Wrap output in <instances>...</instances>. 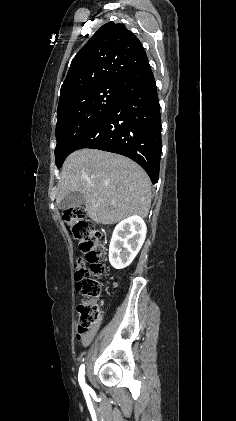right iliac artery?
Wrapping results in <instances>:
<instances>
[{"label": "right iliac artery", "mask_w": 236, "mask_h": 421, "mask_svg": "<svg viewBox=\"0 0 236 421\" xmlns=\"http://www.w3.org/2000/svg\"><path fill=\"white\" fill-rule=\"evenodd\" d=\"M85 365L82 364L79 368V373H78V381L79 384L83 390V392H87L90 390V387L85 383Z\"/></svg>", "instance_id": "right-iliac-artery-1"}]
</instances>
